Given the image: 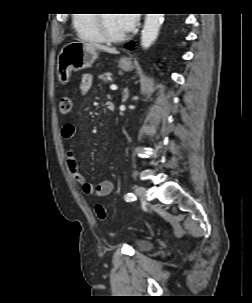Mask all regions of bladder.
Masks as SVG:
<instances>
[{
	"label": "bladder",
	"instance_id": "bladder-1",
	"mask_svg": "<svg viewBox=\"0 0 252 303\" xmlns=\"http://www.w3.org/2000/svg\"><path fill=\"white\" fill-rule=\"evenodd\" d=\"M154 242L137 238L134 240V247L139 251H150L154 248Z\"/></svg>",
	"mask_w": 252,
	"mask_h": 303
}]
</instances>
